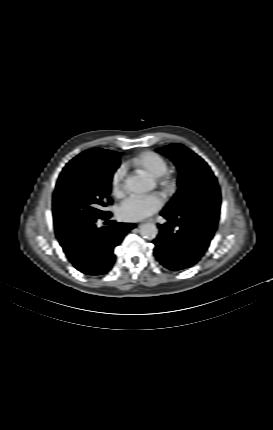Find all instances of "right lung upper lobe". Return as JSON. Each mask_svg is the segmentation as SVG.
<instances>
[{"label": "right lung upper lobe", "mask_w": 273, "mask_h": 430, "mask_svg": "<svg viewBox=\"0 0 273 430\" xmlns=\"http://www.w3.org/2000/svg\"><path fill=\"white\" fill-rule=\"evenodd\" d=\"M83 155L92 156L94 158L103 159H119L120 155L117 152L105 150L101 148L90 149L82 153Z\"/></svg>", "instance_id": "cb5924a9"}]
</instances>
